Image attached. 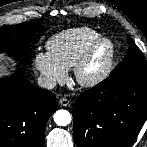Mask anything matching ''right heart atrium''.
<instances>
[{
    "label": "right heart atrium",
    "instance_id": "d8ad5b80",
    "mask_svg": "<svg viewBox=\"0 0 147 147\" xmlns=\"http://www.w3.org/2000/svg\"><path fill=\"white\" fill-rule=\"evenodd\" d=\"M34 67L39 73L42 82L48 87H53L66 80L67 69L48 52H40L35 55Z\"/></svg>",
    "mask_w": 147,
    "mask_h": 147
}]
</instances>
